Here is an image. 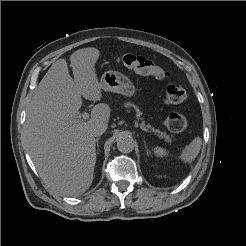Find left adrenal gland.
Listing matches in <instances>:
<instances>
[{"mask_svg":"<svg viewBox=\"0 0 246 246\" xmlns=\"http://www.w3.org/2000/svg\"><path fill=\"white\" fill-rule=\"evenodd\" d=\"M145 143V142H144ZM145 149H146V151L148 152V149H147V146H146V144H145Z\"/></svg>","mask_w":246,"mask_h":246,"instance_id":"a2214340","label":"left adrenal gland"}]
</instances>
